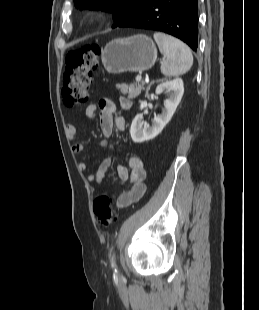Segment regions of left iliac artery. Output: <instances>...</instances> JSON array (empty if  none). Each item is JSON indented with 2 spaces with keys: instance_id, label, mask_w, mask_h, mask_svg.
Segmentation results:
<instances>
[{
  "instance_id": "44dca946",
  "label": "left iliac artery",
  "mask_w": 259,
  "mask_h": 310,
  "mask_svg": "<svg viewBox=\"0 0 259 310\" xmlns=\"http://www.w3.org/2000/svg\"><path fill=\"white\" fill-rule=\"evenodd\" d=\"M111 266L115 267V257H114V255L112 256V259H111Z\"/></svg>"
}]
</instances>
